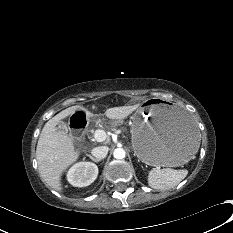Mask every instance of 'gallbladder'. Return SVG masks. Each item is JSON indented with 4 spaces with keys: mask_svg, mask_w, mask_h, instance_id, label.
<instances>
[{
    "mask_svg": "<svg viewBox=\"0 0 233 233\" xmlns=\"http://www.w3.org/2000/svg\"><path fill=\"white\" fill-rule=\"evenodd\" d=\"M64 127H65L64 123L63 122H59L56 129L60 130L61 128H64Z\"/></svg>",
    "mask_w": 233,
    "mask_h": 233,
    "instance_id": "gallbladder-1",
    "label": "gallbladder"
}]
</instances>
